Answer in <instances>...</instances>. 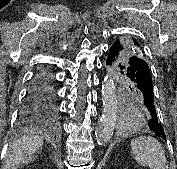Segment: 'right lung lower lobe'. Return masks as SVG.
<instances>
[{
  "instance_id": "obj_1",
  "label": "right lung lower lobe",
  "mask_w": 177,
  "mask_h": 169,
  "mask_svg": "<svg viewBox=\"0 0 177 169\" xmlns=\"http://www.w3.org/2000/svg\"><path fill=\"white\" fill-rule=\"evenodd\" d=\"M57 114L53 78L48 72L40 71L33 79L22 117L29 121L53 120Z\"/></svg>"
}]
</instances>
